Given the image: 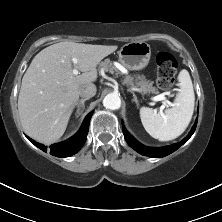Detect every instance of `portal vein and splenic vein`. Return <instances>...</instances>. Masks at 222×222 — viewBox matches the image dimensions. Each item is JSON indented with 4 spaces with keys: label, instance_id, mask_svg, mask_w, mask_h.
<instances>
[{
    "label": "portal vein and splenic vein",
    "instance_id": "18ae733b",
    "mask_svg": "<svg viewBox=\"0 0 222 222\" xmlns=\"http://www.w3.org/2000/svg\"><path fill=\"white\" fill-rule=\"evenodd\" d=\"M72 62L75 64L78 63V60L76 58H73L72 59ZM73 74L74 75H78L79 74V71L77 68H74L73 69ZM153 101L157 102V101H163V105L159 108L160 111L162 112L165 108L166 105H171V103L166 99V97L164 96V94H159L155 97L152 98Z\"/></svg>",
    "mask_w": 222,
    "mask_h": 222
}]
</instances>
